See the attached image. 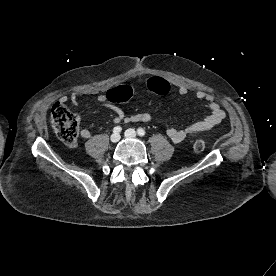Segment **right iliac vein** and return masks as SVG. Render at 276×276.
Listing matches in <instances>:
<instances>
[{
	"mask_svg": "<svg viewBox=\"0 0 276 276\" xmlns=\"http://www.w3.org/2000/svg\"><path fill=\"white\" fill-rule=\"evenodd\" d=\"M110 140L112 143H117L120 140V135L118 133H113Z\"/></svg>",
	"mask_w": 276,
	"mask_h": 276,
	"instance_id": "63e3f726",
	"label": "right iliac vein"
}]
</instances>
